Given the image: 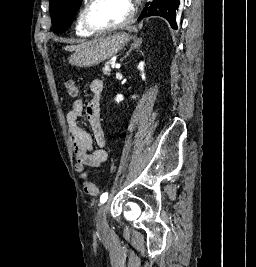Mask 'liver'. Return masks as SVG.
Wrapping results in <instances>:
<instances>
[{
	"instance_id": "1",
	"label": "liver",
	"mask_w": 256,
	"mask_h": 267,
	"mask_svg": "<svg viewBox=\"0 0 256 267\" xmlns=\"http://www.w3.org/2000/svg\"><path fill=\"white\" fill-rule=\"evenodd\" d=\"M98 40H93V42H82V44H78V46H66L64 50H67V52H81L83 48H86V46H91V44H96Z\"/></svg>"
}]
</instances>
